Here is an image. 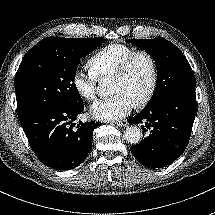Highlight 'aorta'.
<instances>
[{
  "label": "aorta",
  "instance_id": "762f6f07",
  "mask_svg": "<svg viewBox=\"0 0 215 215\" xmlns=\"http://www.w3.org/2000/svg\"><path fill=\"white\" fill-rule=\"evenodd\" d=\"M99 85H102V81H100ZM142 130L135 126H130L125 130V139L130 144H138L142 140Z\"/></svg>",
  "mask_w": 215,
  "mask_h": 215
}]
</instances>
